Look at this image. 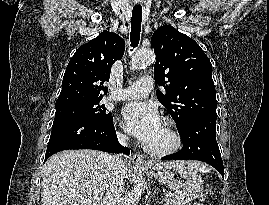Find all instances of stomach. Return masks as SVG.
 I'll return each instance as SVG.
<instances>
[{
    "instance_id": "stomach-1",
    "label": "stomach",
    "mask_w": 269,
    "mask_h": 205,
    "mask_svg": "<svg viewBox=\"0 0 269 205\" xmlns=\"http://www.w3.org/2000/svg\"><path fill=\"white\" fill-rule=\"evenodd\" d=\"M147 172L151 178L167 184L184 205L203 196L201 175L188 162L151 163L147 166Z\"/></svg>"
}]
</instances>
